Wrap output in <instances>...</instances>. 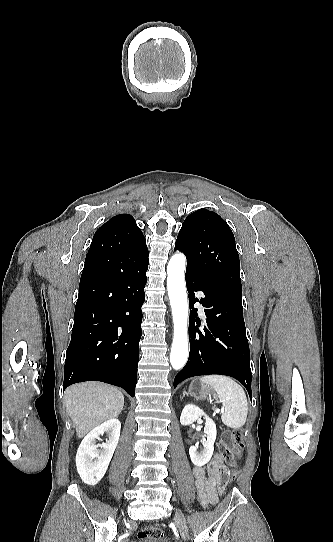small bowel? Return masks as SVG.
<instances>
[{"label": "small bowel", "instance_id": "obj_1", "mask_svg": "<svg viewBox=\"0 0 333 542\" xmlns=\"http://www.w3.org/2000/svg\"><path fill=\"white\" fill-rule=\"evenodd\" d=\"M224 461V456L216 453L205 468L196 466L193 469L198 499L203 507L218 502L223 480L230 477Z\"/></svg>", "mask_w": 333, "mask_h": 542}]
</instances>
